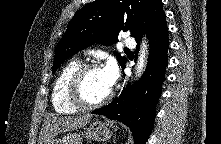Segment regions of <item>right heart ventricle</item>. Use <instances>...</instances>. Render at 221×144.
<instances>
[{
    "label": "right heart ventricle",
    "instance_id": "obj_1",
    "mask_svg": "<svg viewBox=\"0 0 221 144\" xmlns=\"http://www.w3.org/2000/svg\"><path fill=\"white\" fill-rule=\"evenodd\" d=\"M81 64V61L78 59L69 61L61 69L58 77L55 80L52 90V104L55 111L58 113L73 114L79 110V108L75 107L68 100L66 87L70 76Z\"/></svg>",
    "mask_w": 221,
    "mask_h": 144
}]
</instances>
